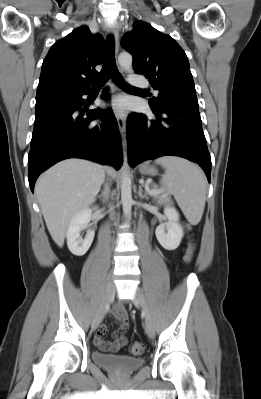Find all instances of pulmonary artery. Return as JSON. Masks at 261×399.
<instances>
[{
  "instance_id": "1",
  "label": "pulmonary artery",
  "mask_w": 261,
  "mask_h": 399,
  "mask_svg": "<svg viewBox=\"0 0 261 399\" xmlns=\"http://www.w3.org/2000/svg\"><path fill=\"white\" fill-rule=\"evenodd\" d=\"M130 82L133 83L134 85L144 87V88L149 86L147 80L135 78L134 74L130 75Z\"/></svg>"
}]
</instances>
